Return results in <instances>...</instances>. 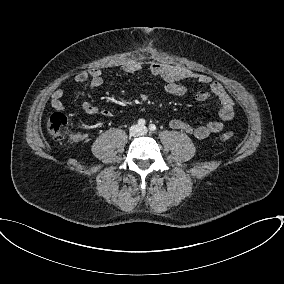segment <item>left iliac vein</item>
<instances>
[{"label":"left iliac vein","mask_w":284,"mask_h":284,"mask_svg":"<svg viewBox=\"0 0 284 284\" xmlns=\"http://www.w3.org/2000/svg\"><path fill=\"white\" fill-rule=\"evenodd\" d=\"M141 132H142V133H147V128H146V127H142V128H141Z\"/></svg>","instance_id":"obj_1"}]
</instances>
